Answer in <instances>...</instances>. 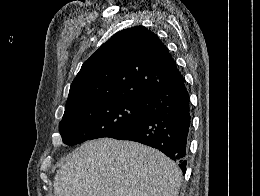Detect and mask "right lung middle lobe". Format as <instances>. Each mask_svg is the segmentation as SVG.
<instances>
[{"instance_id":"1","label":"right lung middle lobe","mask_w":260,"mask_h":196,"mask_svg":"<svg viewBox=\"0 0 260 196\" xmlns=\"http://www.w3.org/2000/svg\"><path fill=\"white\" fill-rule=\"evenodd\" d=\"M145 118L138 100L110 95L65 107L59 129L63 143L72 146L90 139L112 138Z\"/></svg>"}]
</instances>
